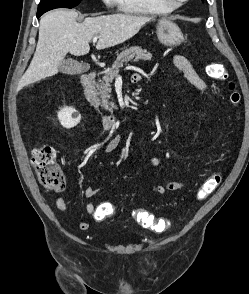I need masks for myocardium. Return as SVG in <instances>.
I'll return each instance as SVG.
<instances>
[{
  "instance_id": "obj_1",
  "label": "myocardium",
  "mask_w": 249,
  "mask_h": 294,
  "mask_svg": "<svg viewBox=\"0 0 249 294\" xmlns=\"http://www.w3.org/2000/svg\"><path fill=\"white\" fill-rule=\"evenodd\" d=\"M163 3L169 5L172 8H178L186 3L188 0H161Z\"/></svg>"
}]
</instances>
